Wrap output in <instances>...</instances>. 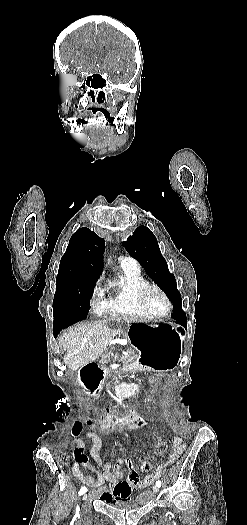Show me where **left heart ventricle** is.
<instances>
[{"label":"left heart ventricle","instance_id":"obj_1","mask_svg":"<svg viewBox=\"0 0 247 525\" xmlns=\"http://www.w3.org/2000/svg\"><path fill=\"white\" fill-rule=\"evenodd\" d=\"M143 301L146 307L156 313L163 312L167 307L164 297L154 289H147L144 292Z\"/></svg>","mask_w":247,"mask_h":525}]
</instances>
